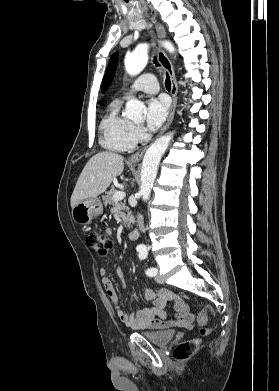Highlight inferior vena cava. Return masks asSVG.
<instances>
[{
	"label": "inferior vena cava",
	"mask_w": 279,
	"mask_h": 391,
	"mask_svg": "<svg viewBox=\"0 0 279 391\" xmlns=\"http://www.w3.org/2000/svg\"><path fill=\"white\" fill-rule=\"evenodd\" d=\"M137 222H138V226H139V229L141 232H144V220H143V216L141 214L138 213L137 215Z\"/></svg>",
	"instance_id": "obj_1"
}]
</instances>
